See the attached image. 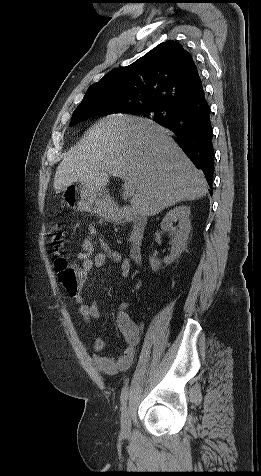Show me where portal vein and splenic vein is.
<instances>
[{
	"mask_svg": "<svg viewBox=\"0 0 261 476\" xmlns=\"http://www.w3.org/2000/svg\"><path fill=\"white\" fill-rule=\"evenodd\" d=\"M109 174H112L115 177H120L124 181V185H123L124 199H128L134 195V185H133V182L129 178L122 176L119 172H116V171L109 172Z\"/></svg>",
	"mask_w": 261,
	"mask_h": 476,
	"instance_id": "18ae733b",
	"label": "portal vein and splenic vein"
}]
</instances>
